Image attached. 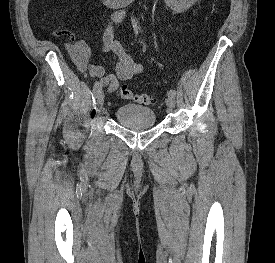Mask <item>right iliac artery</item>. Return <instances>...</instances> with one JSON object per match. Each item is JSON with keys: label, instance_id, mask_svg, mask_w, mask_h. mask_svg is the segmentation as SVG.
<instances>
[{"label": "right iliac artery", "instance_id": "obj_1", "mask_svg": "<svg viewBox=\"0 0 275 263\" xmlns=\"http://www.w3.org/2000/svg\"><path fill=\"white\" fill-rule=\"evenodd\" d=\"M101 91V86L98 84V82L96 81L95 83H94V86H93V92H94V94L96 95L98 92H100Z\"/></svg>", "mask_w": 275, "mask_h": 263}]
</instances>
